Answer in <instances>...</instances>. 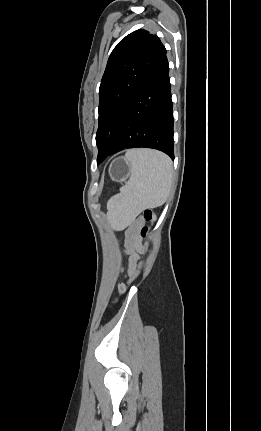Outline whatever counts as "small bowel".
Here are the masks:
<instances>
[{"label":"small bowel","mask_w":261,"mask_h":431,"mask_svg":"<svg viewBox=\"0 0 261 431\" xmlns=\"http://www.w3.org/2000/svg\"><path fill=\"white\" fill-rule=\"evenodd\" d=\"M142 225H143V221L141 219H137L128 231L129 237L131 240L130 250H138L139 240H140L138 234H139V230L141 229ZM128 273L130 275L134 273L133 259H131V261H130Z\"/></svg>","instance_id":"small-bowel-1"}]
</instances>
